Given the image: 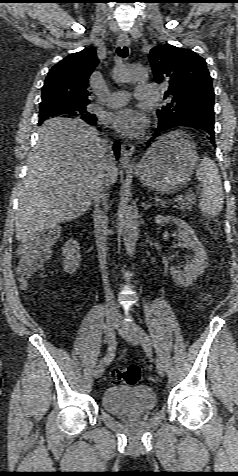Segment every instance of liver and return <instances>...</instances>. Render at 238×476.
I'll return each instance as SVG.
<instances>
[{"label":"liver","mask_w":238,"mask_h":476,"mask_svg":"<svg viewBox=\"0 0 238 476\" xmlns=\"http://www.w3.org/2000/svg\"><path fill=\"white\" fill-rule=\"evenodd\" d=\"M95 128L81 119L52 118L39 129L19 192L16 238L35 239L56 225L82 216L106 175L108 158ZM115 164L110 184L117 180Z\"/></svg>","instance_id":"6515ba94"}]
</instances>
